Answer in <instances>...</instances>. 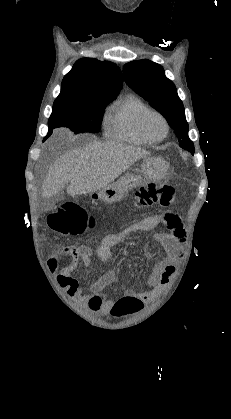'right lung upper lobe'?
<instances>
[{
  "instance_id": "cb5924a9",
  "label": "right lung upper lobe",
  "mask_w": 231,
  "mask_h": 419,
  "mask_svg": "<svg viewBox=\"0 0 231 419\" xmlns=\"http://www.w3.org/2000/svg\"><path fill=\"white\" fill-rule=\"evenodd\" d=\"M122 82V73L116 64L83 58L76 61L64 76L59 97L114 99L122 88Z\"/></svg>"
}]
</instances>
